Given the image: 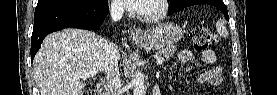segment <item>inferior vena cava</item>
<instances>
[{"label":"inferior vena cava","mask_w":277,"mask_h":95,"mask_svg":"<svg viewBox=\"0 0 277 95\" xmlns=\"http://www.w3.org/2000/svg\"><path fill=\"white\" fill-rule=\"evenodd\" d=\"M124 9L119 4H112L110 9V15L113 22H117L121 19ZM105 74L106 85L108 87L110 95H122L120 90V77H119V50L116 44L113 42H106L105 45Z\"/></svg>","instance_id":"obj_1"}]
</instances>
